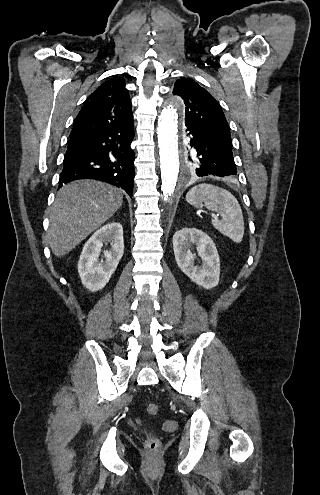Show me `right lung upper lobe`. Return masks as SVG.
Wrapping results in <instances>:
<instances>
[{
    "label": "right lung upper lobe",
    "mask_w": 320,
    "mask_h": 495,
    "mask_svg": "<svg viewBox=\"0 0 320 495\" xmlns=\"http://www.w3.org/2000/svg\"><path fill=\"white\" fill-rule=\"evenodd\" d=\"M132 122L131 100L125 81L122 77H116L105 81L87 98L69 137L126 126Z\"/></svg>",
    "instance_id": "right-lung-upper-lobe-1"
}]
</instances>
